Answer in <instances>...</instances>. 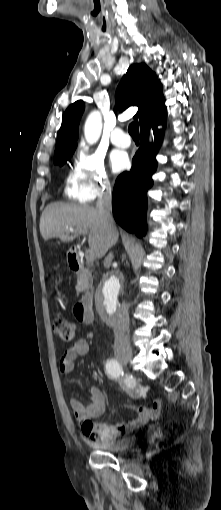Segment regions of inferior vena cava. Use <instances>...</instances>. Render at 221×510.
Here are the masks:
<instances>
[{
	"label": "inferior vena cava",
	"instance_id": "1",
	"mask_svg": "<svg viewBox=\"0 0 221 510\" xmlns=\"http://www.w3.org/2000/svg\"><path fill=\"white\" fill-rule=\"evenodd\" d=\"M111 201H112V191L110 185H107L105 190H101L97 203L96 209L99 212L102 223L108 234L113 235L116 234V227L114 225V220L111 214ZM113 254L109 253L104 261V266L108 268L112 262ZM114 351H130V343H129V313L128 307L125 303H122L121 308L118 310L116 315V319L114 322Z\"/></svg>",
	"mask_w": 221,
	"mask_h": 510
}]
</instances>
